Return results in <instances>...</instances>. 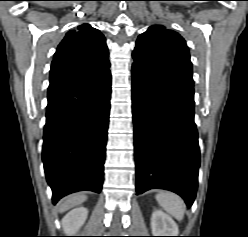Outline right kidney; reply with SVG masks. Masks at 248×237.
<instances>
[{
	"instance_id": "obj_1",
	"label": "right kidney",
	"mask_w": 248,
	"mask_h": 237,
	"mask_svg": "<svg viewBox=\"0 0 248 237\" xmlns=\"http://www.w3.org/2000/svg\"><path fill=\"white\" fill-rule=\"evenodd\" d=\"M88 216V210L79 207L68 212L62 219L61 224L67 236H72L85 223Z\"/></svg>"
}]
</instances>
